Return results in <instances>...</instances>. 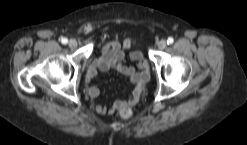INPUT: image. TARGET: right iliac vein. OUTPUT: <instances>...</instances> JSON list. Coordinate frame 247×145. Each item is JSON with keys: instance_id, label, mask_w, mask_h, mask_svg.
I'll list each match as a JSON object with an SVG mask.
<instances>
[{"instance_id": "63e3f726", "label": "right iliac vein", "mask_w": 247, "mask_h": 145, "mask_svg": "<svg viewBox=\"0 0 247 145\" xmlns=\"http://www.w3.org/2000/svg\"><path fill=\"white\" fill-rule=\"evenodd\" d=\"M68 44L70 48H76L78 45L77 41L74 39H71Z\"/></svg>"}]
</instances>
